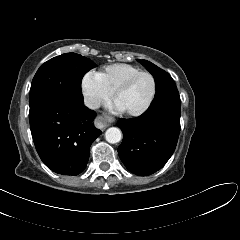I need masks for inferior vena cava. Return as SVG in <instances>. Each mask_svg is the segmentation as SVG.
<instances>
[{
	"label": "inferior vena cava",
	"instance_id": "1",
	"mask_svg": "<svg viewBox=\"0 0 240 240\" xmlns=\"http://www.w3.org/2000/svg\"><path fill=\"white\" fill-rule=\"evenodd\" d=\"M84 103L88 108L93 109V110L98 109L101 105V102L99 99H97L95 97H91V96L85 97Z\"/></svg>",
	"mask_w": 240,
	"mask_h": 240
}]
</instances>
